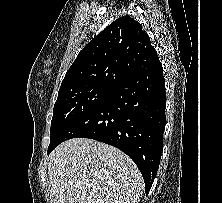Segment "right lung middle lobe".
Segmentation results:
<instances>
[{
  "instance_id": "dd1d6c3e",
  "label": "right lung middle lobe",
  "mask_w": 222,
  "mask_h": 203,
  "mask_svg": "<svg viewBox=\"0 0 222 203\" xmlns=\"http://www.w3.org/2000/svg\"><path fill=\"white\" fill-rule=\"evenodd\" d=\"M112 88L75 86L60 89L53 109L49 147L72 123L93 110L111 93Z\"/></svg>"
}]
</instances>
